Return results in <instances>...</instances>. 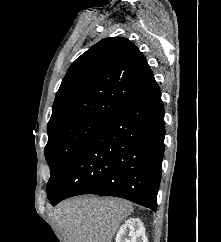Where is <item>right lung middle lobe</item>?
<instances>
[{
    "label": "right lung middle lobe",
    "mask_w": 221,
    "mask_h": 242,
    "mask_svg": "<svg viewBox=\"0 0 221 242\" xmlns=\"http://www.w3.org/2000/svg\"><path fill=\"white\" fill-rule=\"evenodd\" d=\"M103 120L82 119L48 130V143L44 149L50 167L47 194L62 175L69 160L88 136L101 125Z\"/></svg>",
    "instance_id": "obj_1"
}]
</instances>
